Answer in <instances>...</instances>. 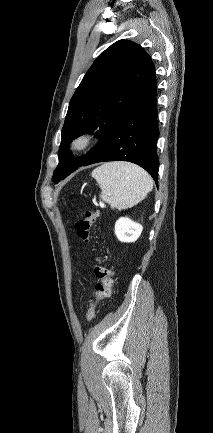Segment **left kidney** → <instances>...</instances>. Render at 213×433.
Segmentation results:
<instances>
[{
	"instance_id": "1",
	"label": "left kidney",
	"mask_w": 213,
	"mask_h": 433,
	"mask_svg": "<svg viewBox=\"0 0 213 433\" xmlns=\"http://www.w3.org/2000/svg\"><path fill=\"white\" fill-rule=\"evenodd\" d=\"M142 230V225L132 221L128 217H121L115 223V234L121 242H135L141 235Z\"/></svg>"
}]
</instances>
